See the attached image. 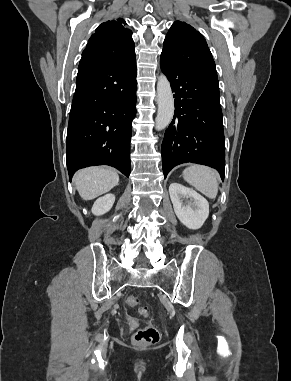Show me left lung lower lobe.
<instances>
[{
	"instance_id": "obj_1",
	"label": "left lung lower lobe",
	"mask_w": 291,
	"mask_h": 381,
	"mask_svg": "<svg viewBox=\"0 0 291 381\" xmlns=\"http://www.w3.org/2000/svg\"><path fill=\"white\" fill-rule=\"evenodd\" d=\"M160 66L171 83L175 113L161 146L163 173L192 162L217 169L224 180L225 139L219 83L197 76L161 54Z\"/></svg>"
}]
</instances>
